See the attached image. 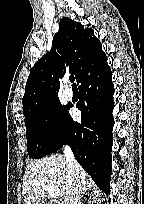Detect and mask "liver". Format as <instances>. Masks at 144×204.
Here are the masks:
<instances>
[{
    "label": "liver",
    "instance_id": "6515ba94",
    "mask_svg": "<svg viewBox=\"0 0 144 204\" xmlns=\"http://www.w3.org/2000/svg\"><path fill=\"white\" fill-rule=\"evenodd\" d=\"M77 177L83 187H90L88 175L80 165ZM46 185L59 189L64 200L70 190L68 164L64 155H52L28 164L22 185L24 204H38L44 198Z\"/></svg>",
    "mask_w": 144,
    "mask_h": 204
}]
</instances>
